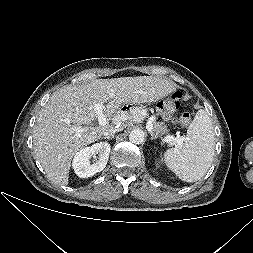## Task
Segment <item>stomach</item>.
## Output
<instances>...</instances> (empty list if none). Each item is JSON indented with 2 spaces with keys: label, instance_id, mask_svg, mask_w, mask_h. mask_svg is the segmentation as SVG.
I'll return each instance as SVG.
<instances>
[{
  "label": "stomach",
  "instance_id": "0dacf381",
  "mask_svg": "<svg viewBox=\"0 0 253 253\" xmlns=\"http://www.w3.org/2000/svg\"><path fill=\"white\" fill-rule=\"evenodd\" d=\"M169 99L166 98V97H163L161 98V100H157L155 102V107L157 109V112H158V116L160 118H165L167 116V106H168V103H169ZM146 102L145 101H139V100H132L131 102H123L120 104V111L121 112H128V111H131L132 109L133 110H145L146 109Z\"/></svg>",
  "mask_w": 253,
  "mask_h": 253
}]
</instances>
